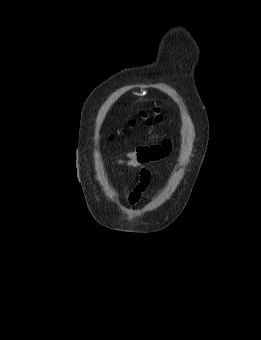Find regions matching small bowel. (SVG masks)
<instances>
[{"instance_id": "c3829d8e", "label": "small bowel", "mask_w": 261, "mask_h": 340, "mask_svg": "<svg viewBox=\"0 0 261 340\" xmlns=\"http://www.w3.org/2000/svg\"><path fill=\"white\" fill-rule=\"evenodd\" d=\"M171 149L172 142L166 139L159 144L137 147L134 150L126 152L122 158L117 160L121 165L139 170L138 184L128 195L129 204L134 205L139 202L150 183L151 172L147 165L164 159L170 154Z\"/></svg>"}]
</instances>
